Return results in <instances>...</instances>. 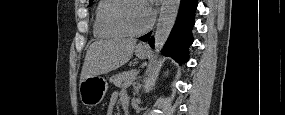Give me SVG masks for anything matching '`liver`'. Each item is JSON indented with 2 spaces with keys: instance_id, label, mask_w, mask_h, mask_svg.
<instances>
[{
  "instance_id": "6515ba94",
  "label": "liver",
  "mask_w": 285,
  "mask_h": 115,
  "mask_svg": "<svg viewBox=\"0 0 285 115\" xmlns=\"http://www.w3.org/2000/svg\"><path fill=\"white\" fill-rule=\"evenodd\" d=\"M135 39L99 40L90 45L83 63L80 82L91 76L109 73L126 64L132 57Z\"/></svg>"
}]
</instances>
